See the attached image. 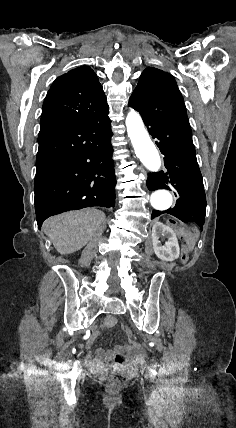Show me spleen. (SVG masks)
<instances>
[{"label":"spleen","instance_id":"obj_1","mask_svg":"<svg viewBox=\"0 0 236 428\" xmlns=\"http://www.w3.org/2000/svg\"><path fill=\"white\" fill-rule=\"evenodd\" d=\"M180 234H181V236H183L186 244H188V246H190V248L192 250V248H194V244H195V238H194L193 234H191V232H185L184 228H181Z\"/></svg>","mask_w":236,"mask_h":428}]
</instances>
